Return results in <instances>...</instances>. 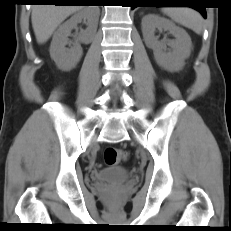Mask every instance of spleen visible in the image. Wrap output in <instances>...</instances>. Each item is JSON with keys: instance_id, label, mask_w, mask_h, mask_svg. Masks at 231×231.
Listing matches in <instances>:
<instances>
[{"instance_id": "3e777b00", "label": "spleen", "mask_w": 231, "mask_h": 231, "mask_svg": "<svg viewBox=\"0 0 231 231\" xmlns=\"http://www.w3.org/2000/svg\"><path fill=\"white\" fill-rule=\"evenodd\" d=\"M162 11L176 23L192 29L197 34L202 32V18L197 11L188 7H167Z\"/></svg>"}]
</instances>
